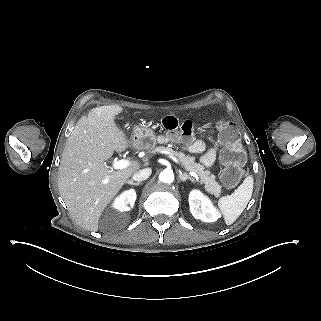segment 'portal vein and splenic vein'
Returning <instances> with one entry per match:
<instances>
[{"label": "portal vein and splenic vein", "instance_id": "obj_1", "mask_svg": "<svg viewBox=\"0 0 321 321\" xmlns=\"http://www.w3.org/2000/svg\"><path fill=\"white\" fill-rule=\"evenodd\" d=\"M167 157H170L171 159H173V161H175L177 163L178 166H181L180 161L174 155L167 154ZM129 164H130V161L125 160V159H121V160L114 162L113 167H114V169H124L127 166H129Z\"/></svg>", "mask_w": 321, "mask_h": 321}]
</instances>
